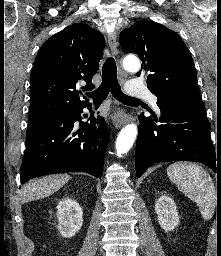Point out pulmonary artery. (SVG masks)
Wrapping results in <instances>:
<instances>
[{
	"label": "pulmonary artery",
	"instance_id": "1",
	"mask_svg": "<svg viewBox=\"0 0 221 256\" xmlns=\"http://www.w3.org/2000/svg\"><path fill=\"white\" fill-rule=\"evenodd\" d=\"M127 93L133 97L147 98L154 108L158 109L157 97L139 80H131L127 83Z\"/></svg>",
	"mask_w": 221,
	"mask_h": 256
}]
</instances>
